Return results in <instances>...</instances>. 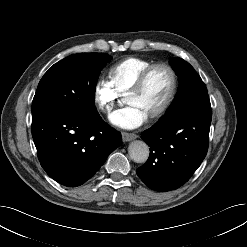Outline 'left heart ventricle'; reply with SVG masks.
<instances>
[{"label":"left heart ventricle","instance_id":"1","mask_svg":"<svg viewBox=\"0 0 247 247\" xmlns=\"http://www.w3.org/2000/svg\"><path fill=\"white\" fill-rule=\"evenodd\" d=\"M170 87L171 77L168 71L164 68H157L150 74L140 93L127 95L126 104L138 107L148 117L164 103Z\"/></svg>","mask_w":247,"mask_h":247}]
</instances>
